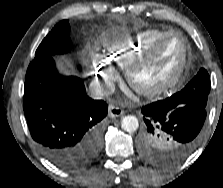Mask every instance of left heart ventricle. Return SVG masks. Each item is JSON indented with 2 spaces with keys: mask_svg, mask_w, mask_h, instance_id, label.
I'll return each instance as SVG.
<instances>
[{
  "mask_svg": "<svg viewBox=\"0 0 223 188\" xmlns=\"http://www.w3.org/2000/svg\"><path fill=\"white\" fill-rule=\"evenodd\" d=\"M183 54V45L179 37L169 38L163 45L159 58L138 74V81L151 86L171 76L177 69Z\"/></svg>",
  "mask_w": 223,
  "mask_h": 188,
  "instance_id": "b2bd125f",
  "label": "left heart ventricle"
}]
</instances>
